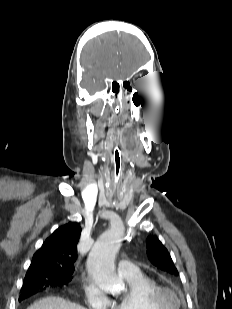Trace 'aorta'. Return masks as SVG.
<instances>
[{
	"mask_svg": "<svg viewBox=\"0 0 232 309\" xmlns=\"http://www.w3.org/2000/svg\"><path fill=\"white\" fill-rule=\"evenodd\" d=\"M124 227L113 224L95 242L88 259V272L104 291L118 295L124 289V282L115 271L114 259L120 249Z\"/></svg>",
	"mask_w": 232,
	"mask_h": 309,
	"instance_id": "obj_1",
	"label": "aorta"
}]
</instances>
